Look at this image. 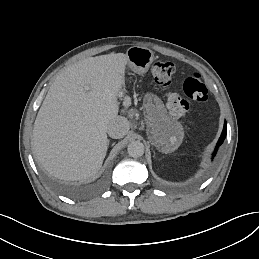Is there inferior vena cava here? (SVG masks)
<instances>
[{
    "label": "inferior vena cava",
    "instance_id": "obj_1",
    "mask_svg": "<svg viewBox=\"0 0 259 259\" xmlns=\"http://www.w3.org/2000/svg\"><path fill=\"white\" fill-rule=\"evenodd\" d=\"M129 130L127 118L117 116L107 127L108 135L114 139L123 138Z\"/></svg>",
    "mask_w": 259,
    "mask_h": 259
}]
</instances>
